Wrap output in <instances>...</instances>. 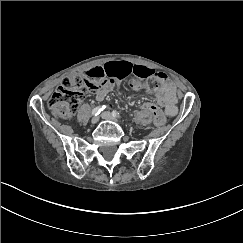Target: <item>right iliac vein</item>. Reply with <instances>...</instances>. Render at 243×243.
<instances>
[{
    "label": "right iliac vein",
    "instance_id": "right-iliac-vein-1",
    "mask_svg": "<svg viewBox=\"0 0 243 243\" xmlns=\"http://www.w3.org/2000/svg\"><path fill=\"white\" fill-rule=\"evenodd\" d=\"M99 121V117L98 116H94L91 120V123L94 125Z\"/></svg>",
    "mask_w": 243,
    "mask_h": 243
}]
</instances>
